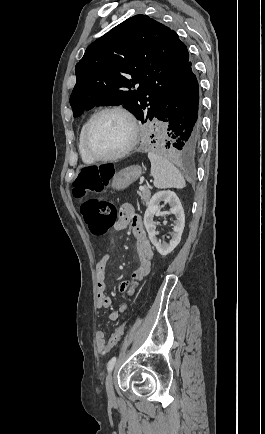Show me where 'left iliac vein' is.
Returning a JSON list of instances; mask_svg holds the SVG:
<instances>
[{
	"instance_id": "left-iliac-vein-1",
	"label": "left iliac vein",
	"mask_w": 265,
	"mask_h": 434,
	"mask_svg": "<svg viewBox=\"0 0 265 434\" xmlns=\"http://www.w3.org/2000/svg\"><path fill=\"white\" fill-rule=\"evenodd\" d=\"M105 387H106V393H107L109 401L115 402L116 397H115V393H114V389H113V375L112 374H109L107 376L106 382H105Z\"/></svg>"
}]
</instances>
